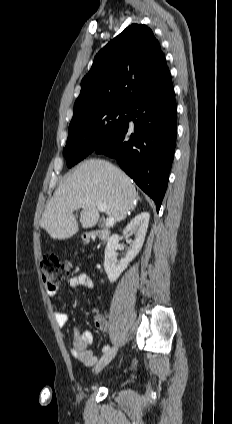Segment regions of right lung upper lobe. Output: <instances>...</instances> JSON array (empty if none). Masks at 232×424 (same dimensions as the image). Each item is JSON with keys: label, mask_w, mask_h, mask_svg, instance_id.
<instances>
[{"label": "right lung upper lobe", "mask_w": 232, "mask_h": 424, "mask_svg": "<svg viewBox=\"0 0 232 424\" xmlns=\"http://www.w3.org/2000/svg\"><path fill=\"white\" fill-rule=\"evenodd\" d=\"M169 72L152 30L132 24L95 56L81 81L73 117L98 106H132L152 91Z\"/></svg>", "instance_id": "1"}]
</instances>
